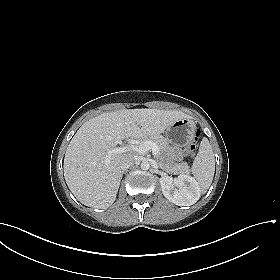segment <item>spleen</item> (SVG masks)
<instances>
[{"label":"spleen","instance_id":"3e777b00","mask_svg":"<svg viewBox=\"0 0 280 280\" xmlns=\"http://www.w3.org/2000/svg\"><path fill=\"white\" fill-rule=\"evenodd\" d=\"M215 173V157L209 140L204 137L200 143L199 151L192 165V174L205 193L213 180Z\"/></svg>","mask_w":280,"mask_h":280}]
</instances>
